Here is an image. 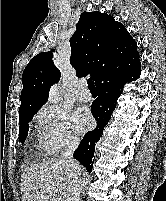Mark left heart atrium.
I'll return each mask as SVG.
<instances>
[{
	"mask_svg": "<svg viewBox=\"0 0 166 201\" xmlns=\"http://www.w3.org/2000/svg\"><path fill=\"white\" fill-rule=\"evenodd\" d=\"M92 122L89 111L85 108H78L73 114V123L77 131L83 132L89 128Z\"/></svg>",
	"mask_w": 166,
	"mask_h": 201,
	"instance_id": "obj_1",
	"label": "left heart atrium"
}]
</instances>
